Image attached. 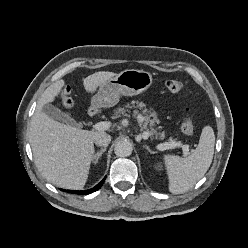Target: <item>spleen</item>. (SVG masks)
<instances>
[{"instance_id": "spleen-1", "label": "spleen", "mask_w": 248, "mask_h": 248, "mask_svg": "<svg viewBox=\"0 0 248 248\" xmlns=\"http://www.w3.org/2000/svg\"><path fill=\"white\" fill-rule=\"evenodd\" d=\"M214 144V131L212 127L205 126L202 129L199 144L191 155L186 158L164 156L170 192L185 193L205 175L213 159Z\"/></svg>"}]
</instances>
